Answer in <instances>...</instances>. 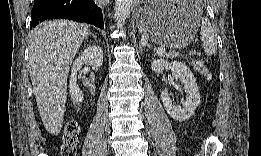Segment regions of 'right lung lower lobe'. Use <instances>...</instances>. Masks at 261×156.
<instances>
[{
  "instance_id": "right-lung-lower-lobe-1",
  "label": "right lung lower lobe",
  "mask_w": 261,
  "mask_h": 156,
  "mask_svg": "<svg viewBox=\"0 0 261 156\" xmlns=\"http://www.w3.org/2000/svg\"><path fill=\"white\" fill-rule=\"evenodd\" d=\"M30 27L46 19L62 18L104 28L101 8L93 0H35Z\"/></svg>"
}]
</instances>
